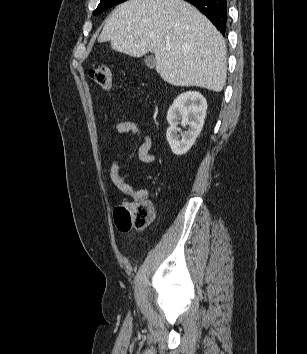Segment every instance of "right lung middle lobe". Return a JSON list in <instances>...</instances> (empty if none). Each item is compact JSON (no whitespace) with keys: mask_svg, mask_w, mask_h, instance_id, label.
<instances>
[{"mask_svg":"<svg viewBox=\"0 0 307 354\" xmlns=\"http://www.w3.org/2000/svg\"><path fill=\"white\" fill-rule=\"evenodd\" d=\"M124 1H127V0H101L100 4L98 5L97 9L94 11V15L95 14H99L119 3H122Z\"/></svg>","mask_w":307,"mask_h":354,"instance_id":"right-lung-middle-lobe-1","label":"right lung middle lobe"}]
</instances>
